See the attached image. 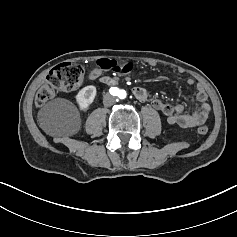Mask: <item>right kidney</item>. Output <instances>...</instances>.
Segmentation results:
<instances>
[{
    "label": "right kidney",
    "mask_w": 237,
    "mask_h": 237,
    "mask_svg": "<svg viewBox=\"0 0 237 237\" xmlns=\"http://www.w3.org/2000/svg\"><path fill=\"white\" fill-rule=\"evenodd\" d=\"M97 95V88L94 85H87L79 90L75 96L80 111H88Z\"/></svg>",
    "instance_id": "right-kidney-1"
}]
</instances>
